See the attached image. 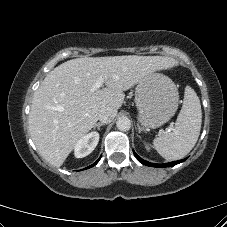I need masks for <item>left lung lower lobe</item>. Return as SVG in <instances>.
I'll return each mask as SVG.
<instances>
[{
	"label": "left lung lower lobe",
	"mask_w": 227,
	"mask_h": 227,
	"mask_svg": "<svg viewBox=\"0 0 227 227\" xmlns=\"http://www.w3.org/2000/svg\"><path fill=\"white\" fill-rule=\"evenodd\" d=\"M133 153H134V155L136 156V158H137L142 164H144V165H146V166H151V167H171V166H174V165L179 164V163H181V162H183V161L186 160V158H185V159H183V160L174 161V162H170V163H165V164H155V163H151V162H148V161L143 160V159L140 158L134 151H133Z\"/></svg>",
	"instance_id": "obj_1"
}]
</instances>
